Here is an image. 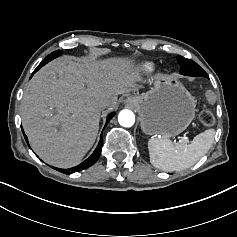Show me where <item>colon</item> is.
<instances>
[{"instance_id": "obj_1", "label": "colon", "mask_w": 237, "mask_h": 237, "mask_svg": "<svg viewBox=\"0 0 237 237\" xmlns=\"http://www.w3.org/2000/svg\"><path fill=\"white\" fill-rule=\"evenodd\" d=\"M206 98H207L208 102H210V103H215V101H216V95L212 91L207 92ZM199 119H200V122L202 123V125L207 128L212 127L215 123L214 114L209 109L203 110L199 115Z\"/></svg>"}]
</instances>
